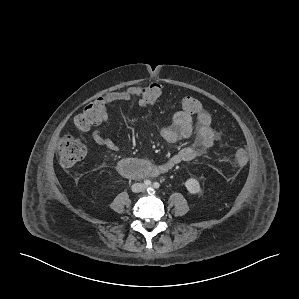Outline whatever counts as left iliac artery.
I'll use <instances>...</instances> for the list:
<instances>
[{"mask_svg": "<svg viewBox=\"0 0 299 299\" xmlns=\"http://www.w3.org/2000/svg\"><path fill=\"white\" fill-rule=\"evenodd\" d=\"M153 186H154V188L158 189V188L160 187V184H159L158 182H155V183L153 184Z\"/></svg>", "mask_w": 299, "mask_h": 299, "instance_id": "left-iliac-artery-1", "label": "left iliac artery"}]
</instances>
